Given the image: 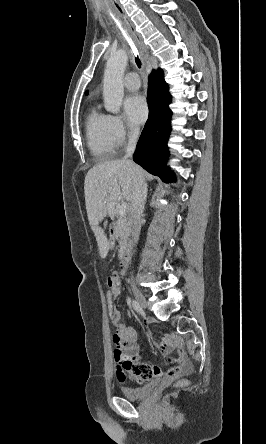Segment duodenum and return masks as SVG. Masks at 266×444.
I'll list each match as a JSON object with an SVG mask.
<instances>
[{
  "mask_svg": "<svg viewBox=\"0 0 266 444\" xmlns=\"http://www.w3.org/2000/svg\"><path fill=\"white\" fill-rule=\"evenodd\" d=\"M112 238H114V233H112ZM121 273L124 275H127L129 272V264H128V258H124V260L121 263L120 267Z\"/></svg>",
  "mask_w": 266,
  "mask_h": 444,
  "instance_id": "1",
  "label": "duodenum"
}]
</instances>
